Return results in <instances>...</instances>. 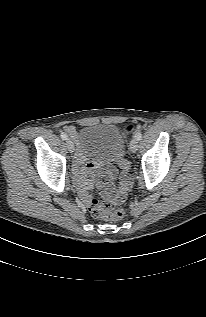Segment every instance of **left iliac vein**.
<instances>
[{
    "label": "left iliac vein",
    "instance_id": "left-iliac-vein-1",
    "mask_svg": "<svg viewBox=\"0 0 206 317\" xmlns=\"http://www.w3.org/2000/svg\"><path fill=\"white\" fill-rule=\"evenodd\" d=\"M130 150L131 152L135 153L138 150V140L133 139L130 143Z\"/></svg>",
    "mask_w": 206,
    "mask_h": 317
}]
</instances>
